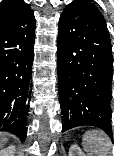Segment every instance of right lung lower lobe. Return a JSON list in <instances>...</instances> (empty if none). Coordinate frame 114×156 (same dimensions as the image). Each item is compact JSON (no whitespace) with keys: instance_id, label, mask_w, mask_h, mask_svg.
Masks as SVG:
<instances>
[{"instance_id":"right-lung-lower-lobe-1","label":"right lung lower lobe","mask_w":114,"mask_h":156,"mask_svg":"<svg viewBox=\"0 0 114 156\" xmlns=\"http://www.w3.org/2000/svg\"><path fill=\"white\" fill-rule=\"evenodd\" d=\"M31 9L0 24V130L24 140L35 39Z\"/></svg>"}]
</instances>
